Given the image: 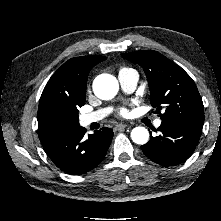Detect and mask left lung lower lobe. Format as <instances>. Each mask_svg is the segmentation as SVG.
<instances>
[{"instance_id": "obj_1", "label": "left lung lower lobe", "mask_w": 221, "mask_h": 221, "mask_svg": "<svg viewBox=\"0 0 221 221\" xmlns=\"http://www.w3.org/2000/svg\"><path fill=\"white\" fill-rule=\"evenodd\" d=\"M202 127L203 123L194 121H162L158 128L161 134L150 136L149 142L141 149L149 159L160 165L180 164L195 150Z\"/></svg>"}]
</instances>
